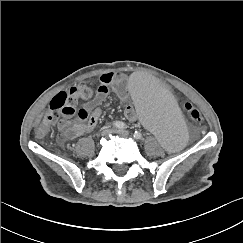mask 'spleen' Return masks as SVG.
Segmentation results:
<instances>
[{"label":"spleen","mask_w":243,"mask_h":243,"mask_svg":"<svg viewBox=\"0 0 243 243\" xmlns=\"http://www.w3.org/2000/svg\"><path fill=\"white\" fill-rule=\"evenodd\" d=\"M125 89L135 101L136 119L149 128L161 147L176 152L188 144L189 127L176 98L152 73L133 72L126 80Z\"/></svg>","instance_id":"spleen-1"}]
</instances>
